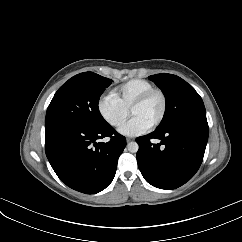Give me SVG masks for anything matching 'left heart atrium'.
Here are the masks:
<instances>
[{
    "label": "left heart atrium",
    "instance_id": "obj_1",
    "mask_svg": "<svg viewBox=\"0 0 242 242\" xmlns=\"http://www.w3.org/2000/svg\"><path fill=\"white\" fill-rule=\"evenodd\" d=\"M149 128L150 126L141 119L132 117L119 128V132L126 136H137L146 132Z\"/></svg>",
    "mask_w": 242,
    "mask_h": 242
}]
</instances>
